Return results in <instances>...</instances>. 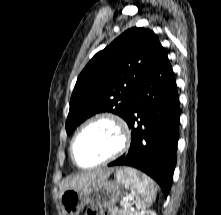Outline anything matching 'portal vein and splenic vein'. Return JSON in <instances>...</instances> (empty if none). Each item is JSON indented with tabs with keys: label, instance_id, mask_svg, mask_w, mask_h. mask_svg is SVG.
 Returning <instances> with one entry per match:
<instances>
[{
	"label": "portal vein and splenic vein",
	"instance_id": "portal-vein-and-splenic-vein-1",
	"mask_svg": "<svg viewBox=\"0 0 221 215\" xmlns=\"http://www.w3.org/2000/svg\"><path fill=\"white\" fill-rule=\"evenodd\" d=\"M126 204H127V202H124V201L121 202V205H122V206H126Z\"/></svg>",
	"mask_w": 221,
	"mask_h": 215
}]
</instances>
